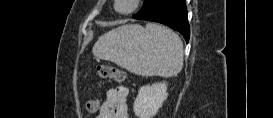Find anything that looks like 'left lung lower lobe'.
Segmentation results:
<instances>
[{
    "label": "left lung lower lobe",
    "mask_w": 273,
    "mask_h": 118,
    "mask_svg": "<svg viewBox=\"0 0 273 118\" xmlns=\"http://www.w3.org/2000/svg\"><path fill=\"white\" fill-rule=\"evenodd\" d=\"M187 15L185 0H164L155 11L144 16L141 20L167 25L181 33L188 43L190 28Z\"/></svg>",
    "instance_id": "0a47b994"
}]
</instances>
